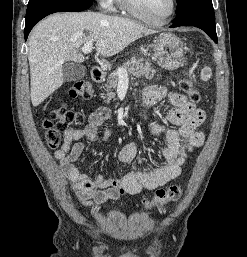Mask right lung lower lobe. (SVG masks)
Wrapping results in <instances>:
<instances>
[{
    "label": "right lung lower lobe",
    "instance_id": "1",
    "mask_svg": "<svg viewBox=\"0 0 247 257\" xmlns=\"http://www.w3.org/2000/svg\"><path fill=\"white\" fill-rule=\"evenodd\" d=\"M92 4L93 1L84 0H39L29 3L24 29L25 40L33 26L47 15L55 12H79L86 10Z\"/></svg>",
    "mask_w": 247,
    "mask_h": 257
}]
</instances>
